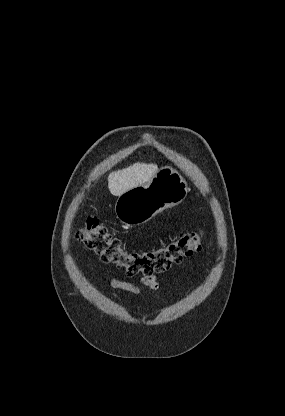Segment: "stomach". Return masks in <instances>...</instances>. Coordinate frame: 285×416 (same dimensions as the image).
<instances>
[{
  "label": "stomach",
  "instance_id": "obj_1",
  "mask_svg": "<svg viewBox=\"0 0 285 416\" xmlns=\"http://www.w3.org/2000/svg\"><path fill=\"white\" fill-rule=\"evenodd\" d=\"M188 194L187 182L179 172L164 166L144 186H137L118 196L115 214L126 226H139L166 208L178 206Z\"/></svg>",
  "mask_w": 285,
  "mask_h": 416
}]
</instances>
